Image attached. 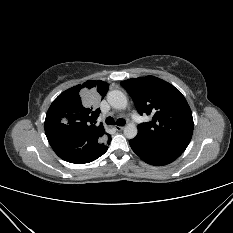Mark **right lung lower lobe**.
<instances>
[{
  "instance_id": "right-lung-lower-lobe-1",
  "label": "right lung lower lobe",
  "mask_w": 233,
  "mask_h": 233,
  "mask_svg": "<svg viewBox=\"0 0 233 233\" xmlns=\"http://www.w3.org/2000/svg\"><path fill=\"white\" fill-rule=\"evenodd\" d=\"M107 148H108V147H107ZM106 150H107V149H106ZM106 150H105L103 153H101L99 156H97V158L100 157L101 155H103V154L106 152ZM97 158H95V159H97ZM95 159H94V160H95ZM94 160H93V161H94Z\"/></svg>"
}]
</instances>
